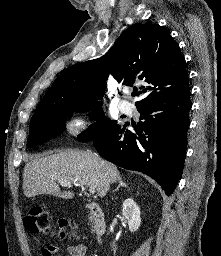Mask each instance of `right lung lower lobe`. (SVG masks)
<instances>
[{"mask_svg": "<svg viewBox=\"0 0 221 256\" xmlns=\"http://www.w3.org/2000/svg\"><path fill=\"white\" fill-rule=\"evenodd\" d=\"M190 109V92L152 99L138 107L144 121L137 135L115 124L93 144L103 158L152 177L170 196L182 175Z\"/></svg>", "mask_w": 221, "mask_h": 256, "instance_id": "right-lung-lower-lobe-1", "label": "right lung lower lobe"}]
</instances>
